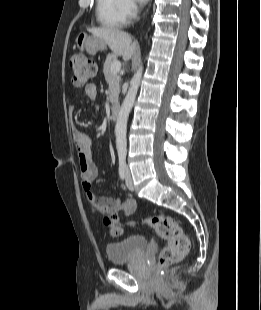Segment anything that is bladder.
I'll return each mask as SVG.
<instances>
[{"label":"bladder","instance_id":"obj_1","mask_svg":"<svg viewBox=\"0 0 261 310\" xmlns=\"http://www.w3.org/2000/svg\"><path fill=\"white\" fill-rule=\"evenodd\" d=\"M147 246V240L142 235H128L106 246L108 259L113 264H122L135 258Z\"/></svg>","mask_w":261,"mask_h":310}]
</instances>
